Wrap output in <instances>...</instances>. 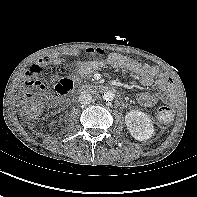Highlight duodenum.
<instances>
[{"instance_id":"obj_1","label":"duodenum","mask_w":197,"mask_h":197,"mask_svg":"<svg viewBox=\"0 0 197 197\" xmlns=\"http://www.w3.org/2000/svg\"><path fill=\"white\" fill-rule=\"evenodd\" d=\"M112 90H113V88L110 86L97 85V86H94L90 91L91 92H105V91H112ZM78 91L82 93L85 91V89L79 88Z\"/></svg>"}]
</instances>
